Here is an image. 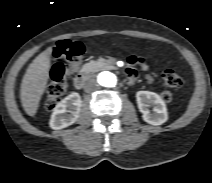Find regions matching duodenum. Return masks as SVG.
Returning a JSON list of instances; mask_svg holds the SVG:
<instances>
[{
	"label": "duodenum",
	"mask_w": 212,
	"mask_h": 183,
	"mask_svg": "<svg viewBox=\"0 0 212 183\" xmlns=\"http://www.w3.org/2000/svg\"><path fill=\"white\" fill-rule=\"evenodd\" d=\"M89 77V72L87 70L79 73L74 79V86L76 89H81L84 87L87 79Z\"/></svg>",
	"instance_id": "1"
}]
</instances>
